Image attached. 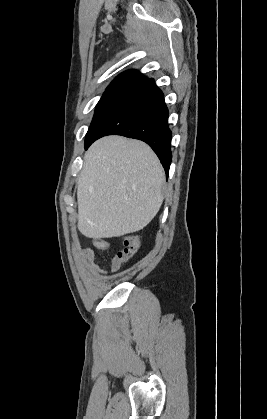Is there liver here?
I'll list each match as a JSON object with an SVG mask.
<instances>
[{
  "label": "liver",
  "mask_w": 267,
  "mask_h": 419,
  "mask_svg": "<svg viewBox=\"0 0 267 419\" xmlns=\"http://www.w3.org/2000/svg\"><path fill=\"white\" fill-rule=\"evenodd\" d=\"M164 182V169L144 142L97 140L85 153L77 185L80 232L100 239L143 229L162 205Z\"/></svg>",
  "instance_id": "6515ba94"
}]
</instances>
